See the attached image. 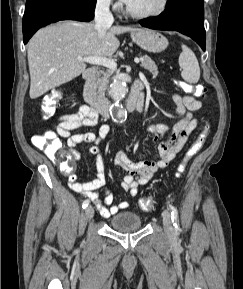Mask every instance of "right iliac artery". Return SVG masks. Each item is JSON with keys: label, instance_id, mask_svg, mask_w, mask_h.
<instances>
[{"label": "right iliac artery", "instance_id": "obj_1", "mask_svg": "<svg viewBox=\"0 0 243 289\" xmlns=\"http://www.w3.org/2000/svg\"><path fill=\"white\" fill-rule=\"evenodd\" d=\"M89 200H85L83 203H82V208H86L88 205H89Z\"/></svg>", "mask_w": 243, "mask_h": 289}]
</instances>
